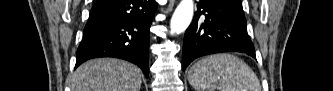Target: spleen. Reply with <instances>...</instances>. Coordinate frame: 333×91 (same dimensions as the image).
I'll return each mask as SVG.
<instances>
[{
  "mask_svg": "<svg viewBox=\"0 0 333 91\" xmlns=\"http://www.w3.org/2000/svg\"><path fill=\"white\" fill-rule=\"evenodd\" d=\"M195 91H261L258 77L239 57L215 54L196 62L188 72Z\"/></svg>",
  "mask_w": 333,
  "mask_h": 91,
  "instance_id": "1",
  "label": "spleen"
}]
</instances>
